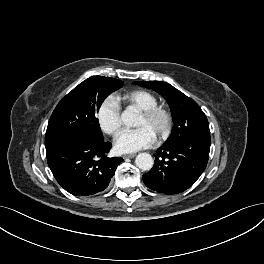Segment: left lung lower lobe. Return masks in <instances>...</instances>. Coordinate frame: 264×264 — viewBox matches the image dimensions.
Masks as SVG:
<instances>
[{
  "mask_svg": "<svg viewBox=\"0 0 264 264\" xmlns=\"http://www.w3.org/2000/svg\"><path fill=\"white\" fill-rule=\"evenodd\" d=\"M210 135L163 144L153 168L143 175L145 185L159 193L177 194L192 186L206 168Z\"/></svg>",
  "mask_w": 264,
  "mask_h": 264,
  "instance_id": "0a47b994",
  "label": "left lung lower lobe"
}]
</instances>
